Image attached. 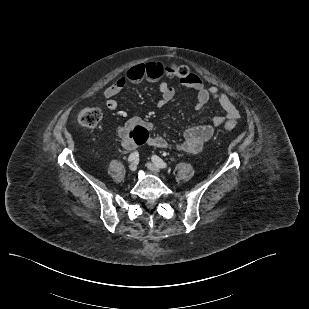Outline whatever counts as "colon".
<instances>
[{"instance_id": "1", "label": "colon", "mask_w": 309, "mask_h": 309, "mask_svg": "<svg viewBox=\"0 0 309 309\" xmlns=\"http://www.w3.org/2000/svg\"><path fill=\"white\" fill-rule=\"evenodd\" d=\"M172 74L179 78L180 80H185L190 77V72L188 68L184 65H175L171 69ZM101 111L99 108L94 106L82 108L77 115L78 123L89 130L97 127L101 120ZM236 123L232 121H227L224 123V128L228 131L235 129ZM131 138L134 140L137 146H141L146 143L148 132L144 127H135L130 132Z\"/></svg>"}]
</instances>
